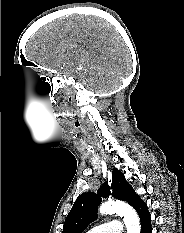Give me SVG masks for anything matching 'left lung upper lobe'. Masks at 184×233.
<instances>
[{"label":"left lung upper lobe","mask_w":184,"mask_h":233,"mask_svg":"<svg viewBox=\"0 0 184 233\" xmlns=\"http://www.w3.org/2000/svg\"><path fill=\"white\" fill-rule=\"evenodd\" d=\"M110 189H112V193ZM110 195L128 202L131 206L140 198L125 180L124 174L113 169L111 187H109L108 182H105L97 193L87 192L78 196L65 219L62 233H82L90 223L97 219L96 213L101 198Z\"/></svg>","instance_id":"left-lung-upper-lobe-1"}]
</instances>
